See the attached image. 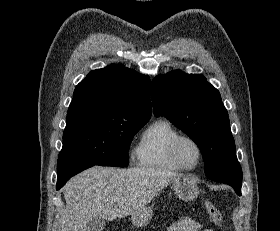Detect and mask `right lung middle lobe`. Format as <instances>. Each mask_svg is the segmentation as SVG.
I'll return each mask as SVG.
<instances>
[{"label":"right lung middle lobe","instance_id":"dd1d6c3e","mask_svg":"<svg viewBox=\"0 0 280 231\" xmlns=\"http://www.w3.org/2000/svg\"><path fill=\"white\" fill-rule=\"evenodd\" d=\"M145 124L112 118L67 119L58 161L127 167L132 138Z\"/></svg>","mask_w":280,"mask_h":231}]
</instances>
